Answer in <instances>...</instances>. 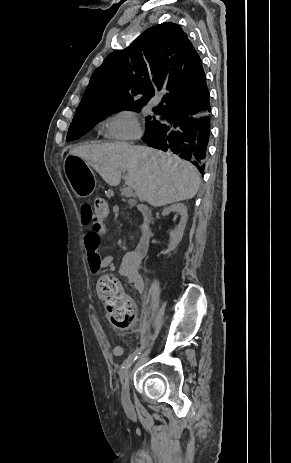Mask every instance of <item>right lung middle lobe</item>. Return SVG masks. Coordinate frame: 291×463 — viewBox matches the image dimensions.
Returning a JSON list of instances; mask_svg holds the SVG:
<instances>
[{
    "label": "right lung middle lobe",
    "mask_w": 291,
    "mask_h": 463,
    "mask_svg": "<svg viewBox=\"0 0 291 463\" xmlns=\"http://www.w3.org/2000/svg\"><path fill=\"white\" fill-rule=\"evenodd\" d=\"M143 104L139 102H108L95 105L87 109H78L74 115L73 121L69 127L67 139L68 141L74 140L85 134L99 121L122 110H135L139 111ZM157 114H162L161 111L154 109ZM157 115L146 117V131L156 127L160 124Z\"/></svg>",
    "instance_id": "1"
}]
</instances>
